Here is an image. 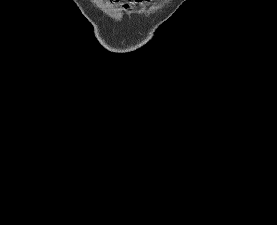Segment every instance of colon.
I'll list each match as a JSON object with an SVG mask.
<instances>
[{
    "mask_svg": "<svg viewBox=\"0 0 277 225\" xmlns=\"http://www.w3.org/2000/svg\"><path fill=\"white\" fill-rule=\"evenodd\" d=\"M110 2H118L119 0H109Z\"/></svg>",
    "mask_w": 277,
    "mask_h": 225,
    "instance_id": "5ec220e1",
    "label": "colon"
}]
</instances>
